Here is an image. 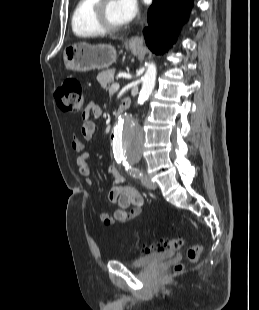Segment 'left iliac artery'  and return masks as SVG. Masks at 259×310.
<instances>
[{"instance_id":"44dca946","label":"left iliac artery","mask_w":259,"mask_h":310,"mask_svg":"<svg viewBox=\"0 0 259 310\" xmlns=\"http://www.w3.org/2000/svg\"><path fill=\"white\" fill-rule=\"evenodd\" d=\"M124 165L126 166V169L128 170L129 169V165H128V163H125L124 162ZM141 172H139L138 170H136L135 172H134V177H139V176H141Z\"/></svg>"}]
</instances>
